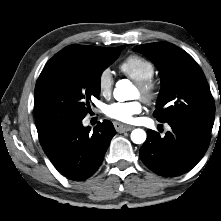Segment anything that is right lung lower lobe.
I'll use <instances>...</instances> for the list:
<instances>
[{"mask_svg": "<svg viewBox=\"0 0 221 221\" xmlns=\"http://www.w3.org/2000/svg\"><path fill=\"white\" fill-rule=\"evenodd\" d=\"M82 120L69 124L40 142L56 169L73 181H84L100 167L110 141L116 134L113 124L104 120L90 132Z\"/></svg>", "mask_w": 221, "mask_h": 221, "instance_id": "right-lung-lower-lobe-1", "label": "right lung lower lobe"}]
</instances>
